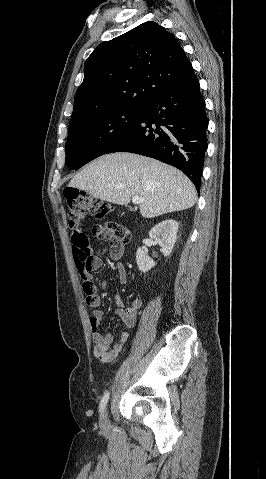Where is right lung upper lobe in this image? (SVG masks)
<instances>
[{
    "instance_id": "obj_1",
    "label": "right lung upper lobe",
    "mask_w": 266,
    "mask_h": 479,
    "mask_svg": "<svg viewBox=\"0 0 266 479\" xmlns=\"http://www.w3.org/2000/svg\"><path fill=\"white\" fill-rule=\"evenodd\" d=\"M194 74L176 38L153 21L100 44L84 65L71 120L139 108Z\"/></svg>"
}]
</instances>
